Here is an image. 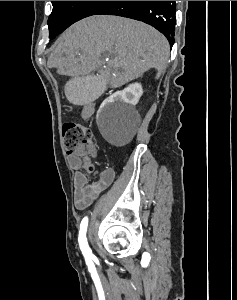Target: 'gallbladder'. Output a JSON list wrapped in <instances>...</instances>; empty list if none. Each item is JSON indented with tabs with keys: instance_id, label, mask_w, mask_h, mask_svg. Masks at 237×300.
<instances>
[{
	"instance_id": "gallbladder-1",
	"label": "gallbladder",
	"mask_w": 237,
	"mask_h": 300,
	"mask_svg": "<svg viewBox=\"0 0 237 300\" xmlns=\"http://www.w3.org/2000/svg\"><path fill=\"white\" fill-rule=\"evenodd\" d=\"M105 76H69L65 83V94L70 105H92L98 101L99 94H104Z\"/></svg>"
}]
</instances>
